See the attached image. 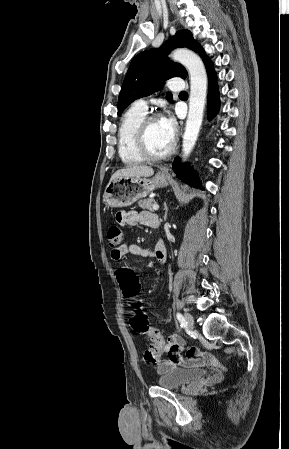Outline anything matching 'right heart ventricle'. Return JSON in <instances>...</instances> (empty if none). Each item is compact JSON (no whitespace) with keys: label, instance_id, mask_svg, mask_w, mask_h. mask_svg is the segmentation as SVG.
<instances>
[{"label":"right heart ventricle","instance_id":"1","mask_svg":"<svg viewBox=\"0 0 289 449\" xmlns=\"http://www.w3.org/2000/svg\"><path fill=\"white\" fill-rule=\"evenodd\" d=\"M146 115L147 111L133 105L121 120L118 131V152L123 163L127 165L139 164L144 161L136 147V133Z\"/></svg>","mask_w":289,"mask_h":449}]
</instances>
